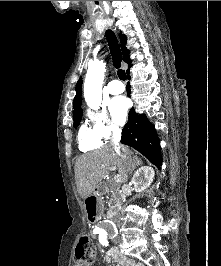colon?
Returning a JSON list of instances; mask_svg holds the SVG:
<instances>
[{
  "label": "colon",
  "instance_id": "obj_1",
  "mask_svg": "<svg viewBox=\"0 0 221 266\" xmlns=\"http://www.w3.org/2000/svg\"><path fill=\"white\" fill-rule=\"evenodd\" d=\"M76 266H90L96 257L93 242L89 236L80 237L76 247Z\"/></svg>",
  "mask_w": 221,
  "mask_h": 266
}]
</instances>
